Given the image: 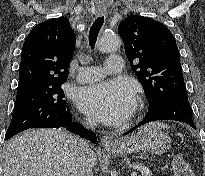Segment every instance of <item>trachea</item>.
I'll return each mask as SVG.
<instances>
[{
    "label": "trachea",
    "mask_w": 205,
    "mask_h": 176,
    "mask_svg": "<svg viewBox=\"0 0 205 176\" xmlns=\"http://www.w3.org/2000/svg\"><path fill=\"white\" fill-rule=\"evenodd\" d=\"M103 23H104V16L98 17L94 21V23L92 24V26L90 28V32H89V44H90V46L94 47Z\"/></svg>",
    "instance_id": "3493384b"
}]
</instances>
